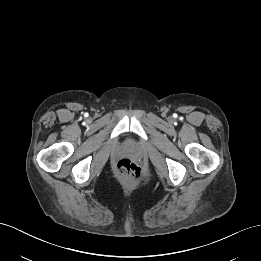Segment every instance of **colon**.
Segmentation results:
<instances>
[{
  "label": "colon",
  "mask_w": 261,
  "mask_h": 261,
  "mask_svg": "<svg viewBox=\"0 0 261 261\" xmlns=\"http://www.w3.org/2000/svg\"><path fill=\"white\" fill-rule=\"evenodd\" d=\"M116 171L120 179L130 184L141 182L144 178L142 169L127 158L118 161Z\"/></svg>",
  "instance_id": "colon-1"
}]
</instances>
